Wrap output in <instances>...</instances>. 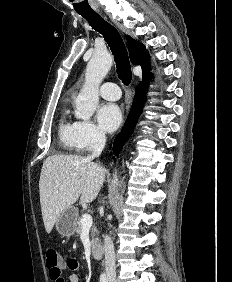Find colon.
<instances>
[{
  "mask_svg": "<svg viewBox=\"0 0 232 282\" xmlns=\"http://www.w3.org/2000/svg\"><path fill=\"white\" fill-rule=\"evenodd\" d=\"M45 261L50 274L53 276L61 274L63 262L59 253L53 247L45 249Z\"/></svg>",
  "mask_w": 232,
  "mask_h": 282,
  "instance_id": "obj_1",
  "label": "colon"
}]
</instances>
